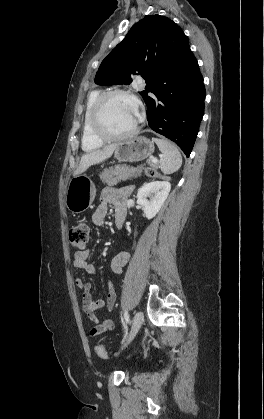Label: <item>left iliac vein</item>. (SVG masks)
Instances as JSON below:
<instances>
[{
    "label": "left iliac vein",
    "mask_w": 264,
    "mask_h": 419,
    "mask_svg": "<svg viewBox=\"0 0 264 419\" xmlns=\"http://www.w3.org/2000/svg\"><path fill=\"white\" fill-rule=\"evenodd\" d=\"M144 320V315L141 311L136 312V314L133 317L132 320V327H131V331L130 334L128 336V339L126 341V344H128L136 335V333L138 332V330L140 329L142 323Z\"/></svg>",
    "instance_id": "obj_1"
}]
</instances>
